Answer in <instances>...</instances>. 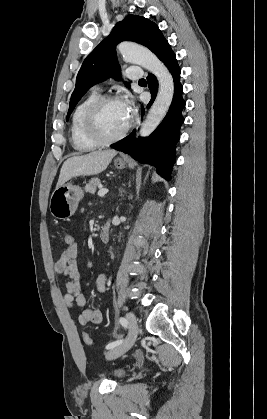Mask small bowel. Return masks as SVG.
<instances>
[{"label": "small bowel", "mask_w": 267, "mask_h": 419, "mask_svg": "<svg viewBox=\"0 0 267 419\" xmlns=\"http://www.w3.org/2000/svg\"><path fill=\"white\" fill-rule=\"evenodd\" d=\"M78 246L66 248L54 265L56 274L67 277L66 291L63 295L64 303L72 309H81L78 321L81 325L100 323L103 318L102 311L97 308L86 307V298L82 293L77 269ZM107 277L100 274L96 279V287L99 292H105Z\"/></svg>", "instance_id": "small-bowel-1"}]
</instances>
